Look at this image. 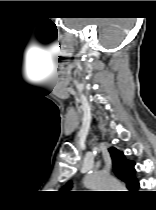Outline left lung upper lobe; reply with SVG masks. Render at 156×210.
<instances>
[{
    "label": "left lung upper lobe",
    "instance_id": "left-lung-upper-lobe-1",
    "mask_svg": "<svg viewBox=\"0 0 156 210\" xmlns=\"http://www.w3.org/2000/svg\"><path fill=\"white\" fill-rule=\"evenodd\" d=\"M108 150L112 158L113 170H114L115 175L121 180H123L130 190L132 191L137 190L139 188V182L134 177L135 163L127 160L124 157L123 152L117 150L114 147H111ZM71 186L72 184L68 183L63 190H68L70 189Z\"/></svg>",
    "mask_w": 156,
    "mask_h": 210
}]
</instances>
